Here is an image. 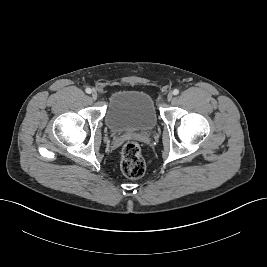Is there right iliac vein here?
<instances>
[{
	"label": "right iliac vein",
	"mask_w": 267,
	"mask_h": 267,
	"mask_svg": "<svg viewBox=\"0 0 267 267\" xmlns=\"http://www.w3.org/2000/svg\"><path fill=\"white\" fill-rule=\"evenodd\" d=\"M97 97H98V94H97V92L94 90V91H92V98L94 99V100H96L97 99Z\"/></svg>",
	"instance_id": "right-iliac-vein-1"
}]
</instances>
